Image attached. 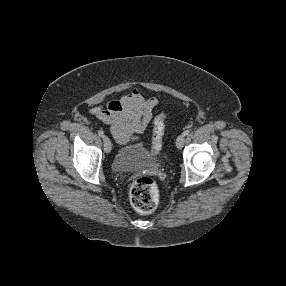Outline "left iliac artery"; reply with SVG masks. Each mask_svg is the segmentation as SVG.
I'll return each mask as SVG.
<instances>
[{"instance_id": "obj_1", "label": "left iliac artery", "mask_w": 286, "mask_h": 286, "mask_svg": "<svg viewBox=\"0 0 286 286\" xmlns=\"http://www.w3.org/2000/svg\"><path fill=\"white\" fill-rule=\"evenodd\" d=\"M189 133H190L189 130H185V131L183 132V135L186 136V135H189Z\"/></svg>"}]
</instances>
